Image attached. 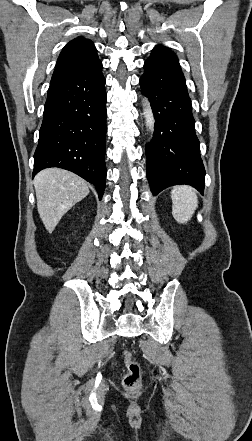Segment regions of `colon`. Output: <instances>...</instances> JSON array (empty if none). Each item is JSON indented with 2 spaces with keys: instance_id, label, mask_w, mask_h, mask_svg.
I'll return each instance as SVG.
<instances>
[{
  "instance_id": "colon-1",
  "label": "colon",
  "mask_w": 252,
  "mask_h": 441,
  "mask_svg": "<svg viewBox=\"0 0 252 441\" xmlns=\"http://www.w3.org/2000/svg\"><path fill=\"white\" fill-rule=\"evenodd\" d=\"M123 359L127 368L123 384L128 390L136 391L139 389L141 381L140 365L134 359V353L132 350H125L123 353Z\"/></svg>"
}]
</instances>
